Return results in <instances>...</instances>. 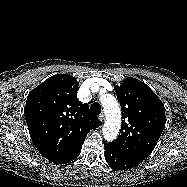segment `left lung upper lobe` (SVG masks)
I'll return each mask as SVG.
<instances>
[{
	"label": "left lung upper lobe",
	"mask_w": 187,
	"mask_h": 187,
	"mask_svg": "<svg viewBox=\"0 0 187 187\" xmlns=\"http://www.w3.org/2000/svg\"><path fill=\"white\" fill-rule=\"evenodd\" d=\"M114 87L123 120L120 135L108 144L121 154L142 162L155 148L165 127L164 105L145 83L133 77Z\"/></svg>",
	"instance_id": "obj_1"
}]
</instances>
